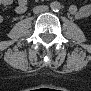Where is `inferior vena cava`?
I'll use <instances>...</instances> for the list:
<instances>
[{
  "mask_svg": "<svg viewBox=\"0 0 91 91\" xmlns=\"http://www.w3.org/2000/svg\"><path fill=\"white\" fill-rule=\"evenodd\" d=\"M48 10V6L46 5H41V6H36L34 9H33V12L35 14H39V13H43L45 11Z\"/></svg>",
  "mask_w": 91,
  "mask_h": 91,
  "instance_id": "inferior-vena-cava-1",
  "label": "inferior vena cava"
}]
</instances>
